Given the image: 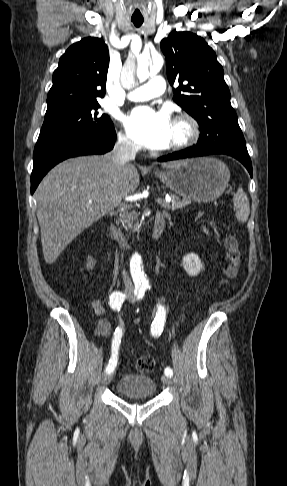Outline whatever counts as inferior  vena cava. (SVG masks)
Instances as JSON below:
<instances>
[{
  "mask_svg": "<svg viewBox=\"0 0 287 486\" xmlns=\"http://www.w3.org/2000/svg\"><path fill=\"white\" fill-rule=\"evenodd\" d=\"M139 146L124 136H119L113 150L110 152L112 162L115 166L123 168L129 161L135 159ZM123 280L126 289L132 288V283L123 270Z\"/></svg>",
  "mask_w": 287,
  "mask_h": 486,
  "instance_id": "inferior-vena-cava-1",
  "label": "inferior vena cava"
}]
</instances>
